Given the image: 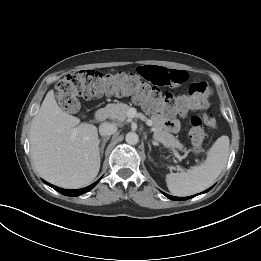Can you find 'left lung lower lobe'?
Segmentation results:
<instances>
[{
	"label": "left lung lower lobe",
	"mask_w": 261,
	"mask_h": 261,
	"mask_svg": "<svg viewBox=\"0 0 261 261\" xmlns=\"http://www.w3.org/2000/svg\"><path fill=\"white\" fill-rule=\"evenodd\" d=\"M211 188H212V187H211ZM211 188L207 189V190L204 191V192L209 191ZM204 192H203V193H204ZM163 194H164L165 196H167L168 198H170V199H172V200H176V201L187 200V199H190V198L196 196V195H194V196H190V197H174V196L167 195V194H165V193H163Z\"/></svg>",
	"instance_id": "1"
}]
</instances>
